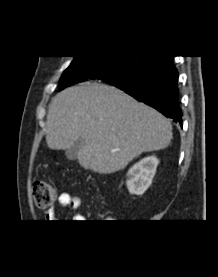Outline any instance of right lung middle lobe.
<instances>
[{"mask_svg":"<svg viewBox=\"0 0 218 277\" xmlns=\"http://www.w3.org/2000/svg\"><path fill=\"white\" fill-rule=\"evenodd\" d=\"M152 56H75L59 81V91L79 83L91 72L101 76L100 80L111 85L127 83L146 68Z\"/></svg>","mask_w":218,"mask_h":277,"instance_id":"dd1d6c3e","label":"right lung middle lobe"}]
</instances>
